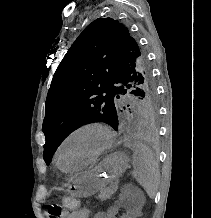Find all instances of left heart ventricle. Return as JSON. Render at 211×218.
Returning <instances> with one entry per match:
<instances>
[{
	"mask_svg": "<svg viewBox=\"0 0 211 218\" xmlns=\"http://www.w3.org/2000/svg\"><path fill=\"white\" fill-rule=\"evenodd\" d=\"M104 139L95 131H84L70 139L62 149L61 165L87 162L103 145Z\"/></svg>",
	"mask_w": 211,
	"mask_h": 218,
	"instance_id": "1",
	"label": "left heart ventricle"
}]
</instances>
